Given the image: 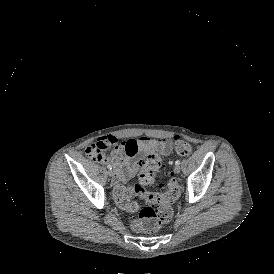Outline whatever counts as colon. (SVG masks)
<instances>
[{"label":"colon","instance_id":"1","mask_svg":"<svg viewBox=\"0 0 274 274\" xmlns=\"http://www.w3.org/2000/svg\"><path fill=\"white\" fill-rule=\"evenodd\" d=\"M176 149L184 160H189L193 156V151L188 143H181L177 145ZM162 163V159L156 155L144 158L139 165L141 173L138 181L133 185L118 184L114 189V198L120 208L131 213L141 208L139 214L130 221L131 228L136 232H154L172 217V204L180 193L178 181L175 178H169L166 181L164 192L160 196L147 192V188L155 182V179L163 171ZM134 196H147V201L151 204H144L142 201L136 200Z\"/></svg>","mask_w":274,"mask_h":274}]
</instances>
